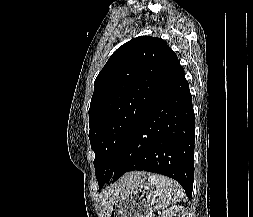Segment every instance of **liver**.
Here are the masks:
<instances>
[{
	"instance_id": "liver-1",
	"label": "liver",
	"mask_w": 253,
	"mask_h": 217,
	"mask_svg": "<svg viewBox=\"0 0 253 217\" xmlns=\"http://www.w3.org/2000/svg\"><path fill=\"white\" fill-rule=\"evenodd\" d=\"M147 174L145 172H129L122 176L117 183L113 184L107 191L103 193V211L107 217L111 205L114 200L123 196V194L135 188L137 185L145 181Z\"/></svg>"
}]
</instances>
